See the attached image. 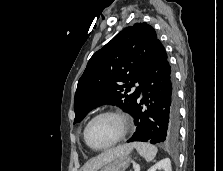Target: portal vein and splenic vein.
<instances>
[{
  "label": "portal vein and splenic vein",
  "mask_w": 223,
  "mask_h": 171,
  "mask_svg": "<svg viewBox=\"0 0 223 171\" xmlns=\"http://www.w3.org/2000/svg\"><path fill=\"white\" fill-rule=\"evenodd\" d=\"M134 171H140V166L138 164L134 165Z\"/></svg>",
  "instance_id": "18ae733b"
}]
</instances>
